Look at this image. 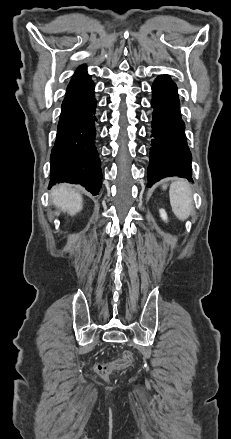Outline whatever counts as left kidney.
Instances as JSON below:
<instances>
[{"label":"left kidney","mask_w":231,"mask_h":439,"mask_svg":"<svg viewBox=\"0 0 231 439\" xmlns=\"http://www.w3.org/2000/svg\"><path fill=\"white\" fill-rule=\"evenodd\" d=\"M160 216L164 221H167V213L164 209H160Z\"/></svg>","instance_id":"5707ae66"}]
</instances>
